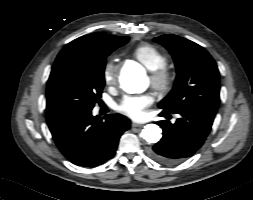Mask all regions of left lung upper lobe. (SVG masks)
Instances as JSON below:
<instances>
[{
	"label": "left lung upper lobe",
	"mask_w": 253,
	"mask_h": 200,
	"mask_svg": "<svg viewBox=\"0 0 253 200\" xmlns=\"http://www.w3.org/2000/svg\"><path fill=\"white\" fill-rule=\"evenodd\" d=\"M173 56L177 78L173 90L159 103L164 111L206 110L216 113L220 102L219 71L214 59L200 45L165 34L154 39Z\"/></svg>",
	"instance_id": "left-lung-upper-lobe-1"
}]
</instances>
